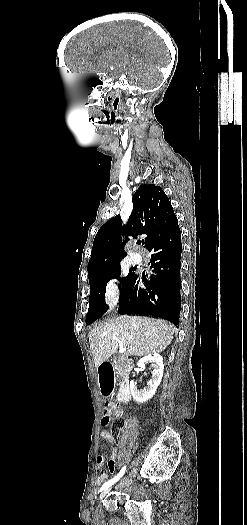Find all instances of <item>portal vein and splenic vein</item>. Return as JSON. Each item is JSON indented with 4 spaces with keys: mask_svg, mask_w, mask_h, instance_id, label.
I'll list each match as a JSON object with an SVG mask.
<instances>
[{
    "mask_svg": "<svg viewBox=\"0 0 247 525\" xmlns=\"http://www.w3.org/2000/svg\"><path fill=\"white\" fill-rule=\"evenodd\" d=\"M124 351H126V349H123V345H120V347H119V353H124Z\"/></svg>",
    "mask_w": 247,
    "mask_h": 525,
    "instance_id": "1",
    "label": "portal vein and splenic vein"
}]
</instances>
